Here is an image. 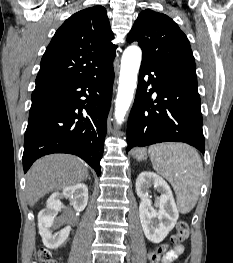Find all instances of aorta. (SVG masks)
Masks as SVG:
<instances>
[{"mask_svg":"<svg viewBox=\"0 0 233 263\" xmlns=\"http://www.w3.org/2000/svg\"><path fill=\"white\" fill-rule=\"evenodd\" d=\"M141 56V49L137 46L128 47L122 55L118 93L115 103V119L119 124L124 120L133 99Z\"/></svg>","mask_w":233,"mask_h":263,"instance_id":"obj_1","label":"aorta"}]
</instances>
